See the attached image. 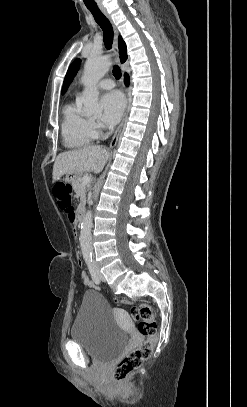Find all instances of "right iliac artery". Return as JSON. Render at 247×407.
I'll return each instance as SVG.
<instances>
[{
	"label": "right iliac artery",
	"mask_w": 247,
	"mask_h": 407,
	"mask_svg": "<svg viewBox=\"0 0 247 407\" xmlns=\"http://www.w3.org/2000/svg\"><path fill=\"white\" fill-rule=\"evenodd\" d=\"M86 264L88 266L89 272L91 274V278L94 281L95 284L99 285L100 284V278L97 274V272L95 271L93 264H92V257H87L85 259Z\"/></svg>",
	"instance_id": "1"
}]
</instances>
